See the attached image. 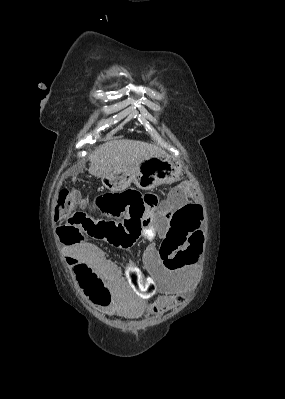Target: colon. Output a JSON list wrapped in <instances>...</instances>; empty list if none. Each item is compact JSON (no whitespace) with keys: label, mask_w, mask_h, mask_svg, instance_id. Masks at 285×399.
Listing matches in <instances>:
<instances>
[{"label":"colon","mask_w":285,"mask_h":399,"mask_svg":"<svg viewBox=\"0 0 285 399\" xmlns=\"http://www.w3.org/2000/svg\"><path fill=\"white\" fill-rule=\"evenodd\" d=\"M175 189L180 192H190L194 189L192 182H181L175 185ZM132 204L131 210H127L128 204ZM99 206L103 209L115 210L121 213L122 220L115 224L108 225L102 237L116 246L122 248L132 247L143 235L144 230L149 226L147 207L158 204L155 197L140 198L133 197L132 192L126 191L116 194H105L99 199ZM79 192L75 188L60 189L56 203L54 205V217L63 222L59 228L61 241L65 244H78L84 238L82 229L94 227V222L87 216L86 210L82 208ZM188 219V210L180 209L174 215L175 221ZM68 231L71 236L65 237L62 232ZM160 258L163 260V267L169 270L183 267L189 259L185 257L182 248L178 245H164L159 251ZM79 273L83 281L90 289H94L110 299L108 290L103 282L96 279L89 266H81ZM141 281L136 282L129 289L130 295L134 296Z\"/></svg>","instance_id":"5ec220e1"}]
</instances>
